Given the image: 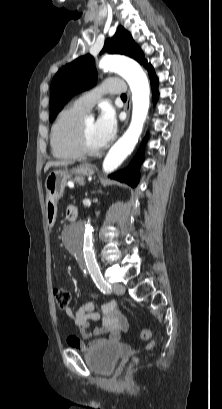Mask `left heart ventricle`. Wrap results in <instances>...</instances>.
<instances>
[{"mask_svg":"<svg viewBox=\"0 0 222 409\" xmlns=\"http://www.w3.org/2000/svg\"><path fill=\"white\" fill-rule=\"evenodd\" d=\"M86 143L91 149H99L100 144L97 138L95 121L93 119L84 120Z\"/></svg>","mask_w":222,"mask_h":409,"instance_id":"1","label":"left heart ventricle"}]
</instances>
